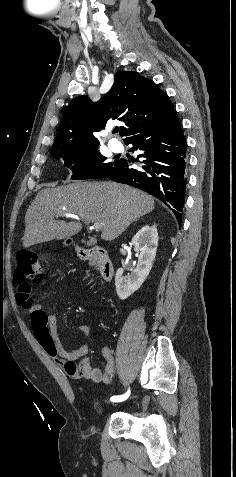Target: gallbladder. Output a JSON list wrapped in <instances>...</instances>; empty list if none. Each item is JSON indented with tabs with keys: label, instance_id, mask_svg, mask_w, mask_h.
I'll list each match as a JSON object with an SVG mask.
<instances>
[{
	"label": "gallbladder",
	"instance_id": "gallbladder-1",
	"mask_svg": "<svg viewBox=\"0 0 236 477\" xmlns=\"http://www.w3.org/2000/svg\"><path fill=\"white\" fill-rule=\"evenodd\" d=\"M92 244H94V241L87 242V245H92Z\"/></svg>",
	"mask_w": 236,
	"mask_h": 477
}]
</instances>
